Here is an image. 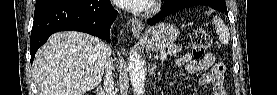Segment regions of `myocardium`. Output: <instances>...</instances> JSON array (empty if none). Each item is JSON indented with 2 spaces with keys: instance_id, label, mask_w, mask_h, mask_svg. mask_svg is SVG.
Masks as SVG:
<instances>
[{
  "instance_id": "obj_1",
  "label": "myocardium",
  "mask_w": 277,
  "mask_h": 95,
  "mask_svg": "<svg viewBox=\"0 0 277 95\" xmlns=\"http://www.w3.org/2000/svg\"><path fill=\"white\" fill-rule=\"evenodd\" d=\"M157 0H153L151 4L143 11L144 15L154 14L158 10Z\"/></svg>"
}]
</instances>
